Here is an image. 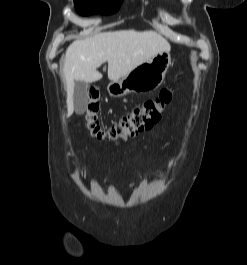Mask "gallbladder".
<instances>
[{
    "label": "gallbladder",
    "mask_w": 247,
    "mask_h": 265,
    "mask_svg": "<svg viewBox=\"0 0 247 265\" xmlns=\"http://www.w3.org/2000/svg\"><path fill=\"white\" fill-rule=\"evenodd\" d=\"M88 83L84 81H76L73 94L74 109L77 114H83L88 103L87 90Z\"/></svg>",
    "instance_id": "obj_1"
}]
</instances>
